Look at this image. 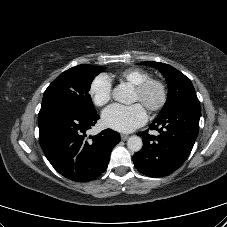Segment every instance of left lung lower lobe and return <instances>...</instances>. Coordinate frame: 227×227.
Returning a JSON list of instances; mask_svg holds the SVG:
<instances>
[{"instance_id":"0a47b994","label":"left lung lower lobe","mask_w":227,"mask_h":227,"mask_svg":"<svg viewBox=\"0 0 227 227\" xmlns=\"http://www.w3.org/2000/svg\"><path fill=\"white\" fill-rule=\"evenodd\" d=\"M200 105L182 106L170 114L156 118L149 126L157 130L138 133L143 148L133 156L137 170L150 177L166 176L177 170L188 158L199 132Z\"/></svg>"}]
</instances>
